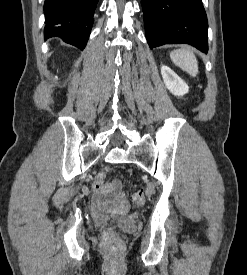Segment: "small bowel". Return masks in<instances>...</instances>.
<instances>
[{"mask_svg": "<svg viewBox=\"0 0 247 275\" xmlns=\"http://www.w3.org/2000/svg\"><path fill=\"white\" fill-rule=\"evenodd\" d=\"M93 193L95 202L105 209L121 211L127 206L126 199L120 191L118 181L104 184L100 189H97L93 185Z\"/></svg>", "mask_w": 247, "mask_h": 275, "instance_id": "1", "label": "small bowel"}]
</instances>
